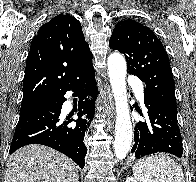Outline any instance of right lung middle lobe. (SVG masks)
<instances>
[{"label": "right lung middle lobe", "instance_id": "1", "mask_svg": "<svg viewBox=\"0 0 196 182\" xmlns=\"http://www.w3.org/2000/svg\"><path fill=\"white\" fill-rule=\"evenodd\" d=\"M40 103L33 104V105H22L20 113L26 112L28 110L34 109L39 106Z\"/></svg>", "mask_w": 196, "mask_h": 182}]
</instances>
